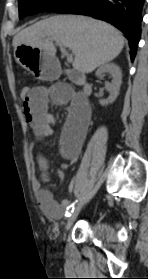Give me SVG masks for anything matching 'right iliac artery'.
I'll return each instance as SVG.
<instances>
[{
  "mask_svg": "<svg viewBox=\"0 0 148 279\" xmlns=\"http://www.w3.org/2000/svg\"><path fill=\"white\" fill-rule=\"evenodd\" d=\"M76 202H77V200L75 202H73L70 206L67 207V210L65 212V217L66 218L70 217L71 213L74 210V206H75Z\"/></svg>",
  "mask_w": 148,
  "mask_h": 279,
  "instance_id": "obj_1",
  "label": "right iliac artery"
}]
</instances>
